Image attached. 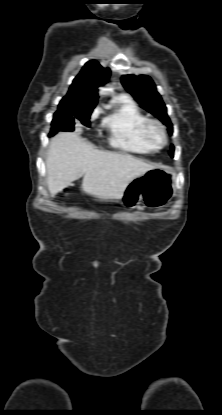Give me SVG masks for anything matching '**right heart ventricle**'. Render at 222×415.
I'll use <instances>...</instances> for the list:
<instances>
[{"label":"right heart ventricle","mask_w":222,"mask_h":415,"mask_svg":"<svg viewBox=\"0 0 222 415\" xmlns=\"http://www.w3.org/2000/svg\"><path fill=\"white\" fill-rule=\"evenodd\" d=\"M117 107L103 121V127L109 133L112 146L132 153L148 154L157 150L143 135L142 127L146 116L130 99L117 100Z\"/></svg>","instance_id":"right-heart-ventricle-1"}]
</instances>
